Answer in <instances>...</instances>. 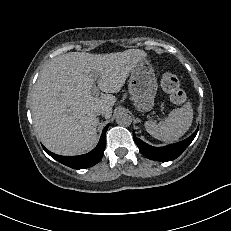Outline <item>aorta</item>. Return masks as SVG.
Returning <instances> with one entry per match:
<instances>
[{
    "instance_id": "1",
    "label": "aorta",
    "mask_w": 231,
    "mask_h": 231,
    "mask_svg": "<svg viewBox=\"0 0 231 231\" xmlns=\"http://www.w3.org/2000/svg\"><path fill=\"white\" fill-rule=\"evenodd\" d=\"M116 122L118 125L120 126H130L132 123V117L126 113V112H120L117 116H116Z\"/></svg>"
}]
</instances>
